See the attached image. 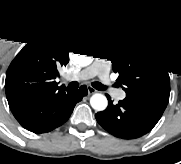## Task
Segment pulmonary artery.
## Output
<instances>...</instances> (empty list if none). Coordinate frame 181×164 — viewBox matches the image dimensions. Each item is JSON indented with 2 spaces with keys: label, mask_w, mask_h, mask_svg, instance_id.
Instances as JSON below:
<instances>
[{
  "label": "pulmonary artery",
  "mask_w": 181,
  "mask_h": 164,
  "mask_svg": "<svg viewBox=\"0 0 181 164\" xmlns=\"http://www.w3.org/2000/svg\"><path fill=\"white\" fill-rule=\"evenodd\" d=\"M97 76L100 79V82L108 86L111 84V77L109 75V69L106 65L100 63V62H95L92 63L90 66L82 70L81 72L67 76V79L70 80H86L92 77ZM115 97L119 100L124 99L125 94L121 91H117L115 94Z\"/></svg>",
  "instance_id": "1"
}]
</instances>
